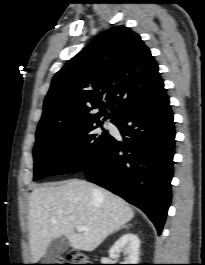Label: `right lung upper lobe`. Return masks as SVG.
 Segmentation results:
<instances>
[{
	"mask_svg": "<svg viewBox=\"0 0 205 265\" xmlns=\"http://www.w3.org/2000/svg\"><path fill=\"white\" fill-rule=\"evenodd\" d=\"M164 90L158 64L125 26L97 36L53 77L37 131L106 118L141 108Z\"/></svg>",
	"mask_w": 205,
	"mask_h": 265,
	"instance_id": "right-lung-upper-lobe-1",
	"label": "right lung upper lobe"
}]
</instances>
